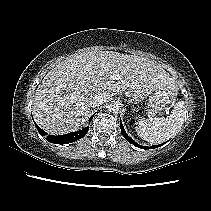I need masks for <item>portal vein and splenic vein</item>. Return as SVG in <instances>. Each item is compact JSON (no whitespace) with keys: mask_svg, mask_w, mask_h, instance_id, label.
Segmentation results:
<instances>
[{"mask_svg":"<svg viewBox=\"0 0 211 211\" xmlns=\"http://www.w3.org/2000/svg\"><path fill=\"white\" fill-rule=\"evenodd\" d=\"M119 78H120V76L118 74L111 76V79H113V80H118ZM166 113H168V112H166Z\"/></svg>","mask_w":211,"mask_h":211,"instance_id":"1","label":"portal vein and splenic vein"}]
</instances>
